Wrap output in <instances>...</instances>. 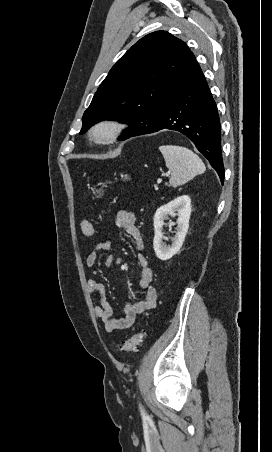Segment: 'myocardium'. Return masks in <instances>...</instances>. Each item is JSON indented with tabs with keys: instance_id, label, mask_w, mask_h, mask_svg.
Segmentation results:
<instances>
[{
	"instance_id": "myocardium-1",
	"label": "myocardium",
	"mask_w": 272,
	"mask_h": 452,
	"mask_svg": "<svg viewBox=\"0 0 272 452\" xmlns=\"http://www.w3.org/2000/svg\"><path fill=\"white\" fill-rule=\"evenodd\" d=\"M123 131V125L115 119H103L94 123L88 131L89 139L96 144L116 141Z\"/></svg>"
}]
</instances>
